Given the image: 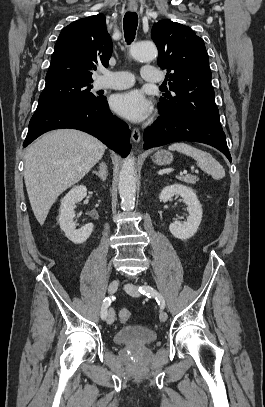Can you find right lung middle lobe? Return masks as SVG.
<instances>
[{
    "mask_svg": "<svg viewBox=\"0 0 265 407\" xmlns=\"http://www.w3.org/2000/svg\"><path fill=\"white\" fill-rule=\"evenodd\" d=\"M92 82L70 79L46 81L34 115L69 106L89 104L98 97L90 90Z\"/></svg>",
    "mask_w": 265,
    "mask_h": 407,
    "instance_id": "1",
    "label": "right lung middle lobe"
}]
</instances>
